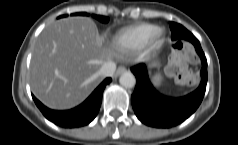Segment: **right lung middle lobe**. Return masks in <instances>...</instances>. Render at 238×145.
<instances>
[{"label":"right lung middle lobe","instance_id":"right-lung-middle-lobe-1","mask_svg":"<svg viewBox=\"0 0 238 145\" xmlns=\"http://www.w3.org/2000/svg\"><path fill=\"white\" fill-rule=\"evenodd\" d=\"M78 13H76L75 15H77ZM79 15H87L86 13H79ZM64 17V15L59 16L58 18ZM96 19H98L99 21L103 22V23H107L108 22V18L104 17V16H94Z\"/></svg>","mask_w":238,"mask_h":145}]
</instances>
